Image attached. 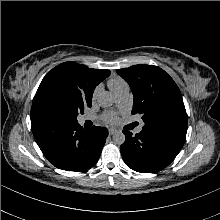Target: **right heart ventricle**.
I'll return each mask as SVG.
<instances>
[{
    "mask_svg": "<svg viewBox=\"0 0 220 220\" xmlns=\"http://www.w3.org/2000/svg\"><path fill=\"white\" fill-rule=\"evenodd\" d=\"M126 85V82L119 77H113L108 81V86L113 93Z\"/></svg>",
    "mask_w": 220,
    "mask_h": 220,
    "instance_id": "obj_1",
    "label": "right heart ventricle"
}]
</instances>
